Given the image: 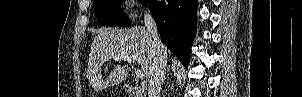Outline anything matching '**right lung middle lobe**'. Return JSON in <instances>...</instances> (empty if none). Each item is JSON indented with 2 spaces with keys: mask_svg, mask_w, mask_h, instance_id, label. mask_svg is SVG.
<instances>
[{
  "mask_svg": "<svg viewBox=\"0 0 302 97\" xmlns=\"http://www.w3.org/2000/svg\"><path fill=\"white\" fill-rule=\"evenodd\" d=\"M126 0H93L95 15L101 26H129L131 20L122 13L121 4ZM150 0H142L146 5Z\"/></svg>",
  "mask_w": 302,
  "mask_h": 97,
  "instance_id": "right-lung-middle-lobe-1",
  "label": "right lung middle lobe"
}]
</instances>
